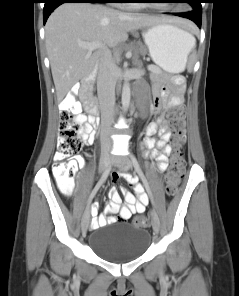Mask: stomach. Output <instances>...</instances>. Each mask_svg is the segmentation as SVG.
I'll return each instance as SVG.
<instances>
[{"label":"stomach","instance_id":"obj_1","mask_svg":"<svg viewBox=\"0 0 239 296\" xmlns=\"http://www.w3.org/2000/svg\"><path fill=\"white\" fill-rule=\"evenodd\" d=\"M191 34L168 23H159L143 31L153 62L167 73L184 70L192 48Z\"/></svg>","mask_w":239,"mask_h":296}]
</instances>
